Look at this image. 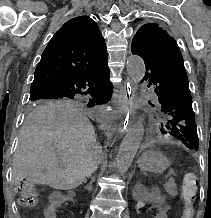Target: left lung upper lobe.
<instances>
[{"instance_id":"5c2ea615","label":"left lung upper lobe","mask_w":211,"mask_h":218,"mask_svg":"<svg viewBox=\"0 0 211 218\" xmlns=\"http://www.w3.org/2000/svg\"><path fill=\"white\" fill-rule=\"evenodd\" d=\"M131 49L144 60V80L156 93L155 101L149 104L161 133L197 150L199 140L188 77L175 39L157 24L149 23L137 31Z\"/></svg>"}]
</instances>
